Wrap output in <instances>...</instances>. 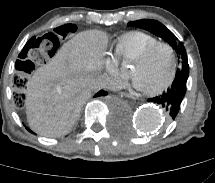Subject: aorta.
<instances>
[{"label":"aorta","instance_id":"762f6f07","mask_svg":"<svg viewBox=\"0 0 215 183\" xmlns=\"http://www.w3.org/2000/svg\"><path fill=\"white\" fill-rule=\"evenodd\" d=\"M163 119L162 110L152 105L138 108L135 114L136 127L145 132L157 130L162 125Z\"/></svg>","mask_w":215,"mask_h":183}]
</instances>
